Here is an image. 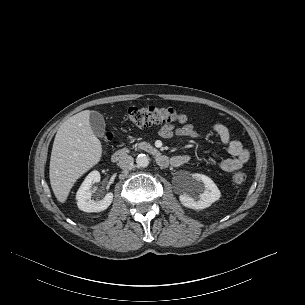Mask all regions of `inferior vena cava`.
<instances>
[{"mask_svg":"<svg viewBox=\"0 0 305 305\" xmlns=\"http://www.w3.org/2000/svg\"><path fill=\"white\" fill-rule=\"evenodd\" d=\"M133 164L134 159L132 156L129 155L122 156L118 163L119 167L122 169H132Z\"/></svg>","mask_w":305,"mask_h":305,"instance_id":"obj_1","label":"inferior vena cava"}]
</instances>
